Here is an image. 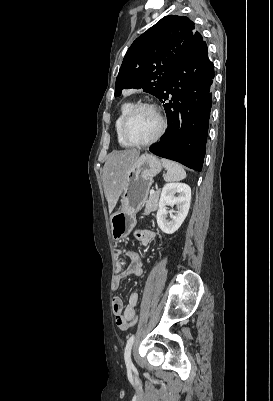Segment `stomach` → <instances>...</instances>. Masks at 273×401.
<instances>
[{
  "label": "stomach",
  "instance_id": "obj_1",
  "mask_svg": "<svg viewBox=\"0 0 273 401\" xmlns=\"http://www.w3.org/2000/svg\"><path fill=\"white\" fill-rule=\"evenodd\" d=\"M161 168L159 158L148 152L141 154L131 168H128L126 186L121 194V207L110 217L114 241L126 239L137 225L136 213L146 203L153 176H156Z\"/></svg>",
  "mask_w": 273,
  "mask_h": 401
}]
</instances>
